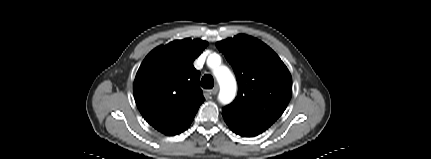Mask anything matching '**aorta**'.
<instances>
[{"instance_id": "obj_1", "label": "aorta", "mask_w": 431, "mask_h": 159, "mask_svg": "<svg viewBox=\"0 0 431 159\" xmlns=\"http://www.w3.org/2000/svg\"><path fill=\"white\" fill-rule=\"evenodd\" d=\"M220 60V57L218 55L214 56L213 58H209V64L211 66H214V62H217ZM214 75L217 78V81L220 85V92H219V100L223 104L230 103L236 93V81L229 69L225 66L219 67L214 70Z\"/></svg>"}]
</instances>
